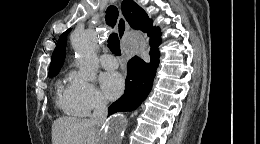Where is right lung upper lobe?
<instances>
[{"label": "right lung upper lobe", "mask_w": 260, "mask_h": 144, "mask_svg": "<svg viewBox=\"0 0 260 144\" xmlns=\"http://www.w3.org/2000/svg\"><path fill=\"white\" fill-rule=\"evenodd\" d=\"M121 8L125 19L133 29H139L148 34L150 37V45L160 42V29L152 27V20L149 19L140 6H138L133 0H123ZM70 30L71 29L65 31L57 42L52 55L49 73L59 71L64 62L66 37Z\"/></svg>", "instance_id": "cb5924a9"}]
</instances>
